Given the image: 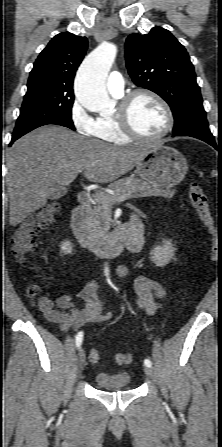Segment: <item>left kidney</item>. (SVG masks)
I'll use <instances>...</instances> for the list:
<instances>
[{"label":"left kidney","instance_id":"5707ae66","mask_svg":"<svg viewBox=\"0 0 222 447\" xmlns=\"http://www.w3.org/2000/svg\"><path fill=\"white\" fill-rule=\"evenodd\" d=\"M176 248L172 244L171 240L163 239L162 245H157L151 251L150 259L158 267L166 266L174 256Z\"/></svg>","mask_w":222,"mask_h":447}]
</instances>
